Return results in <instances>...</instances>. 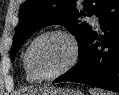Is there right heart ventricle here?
Instances as JSON below:
<instances>
[{
  "label": "right heart ventricle",
  "mask_w": 119,
  "mask_h": 95,
  "mask_svg": "<svg viewBox=\"0 0 119 95\" xmlns=\"http://www.w3.org/2000/svg\"><path fill=\"white\" fill-rule=\"evenodd\" d=\"M23 66H24V70H25V74H26V78L31 81V82H35L37 81V79H35L28 71L27 67H26V63H25V54H24V58H23Z\"/></svg>",
  "instance_id": "e07e8e85"
}]
</instances>
